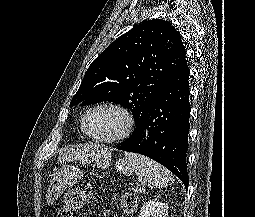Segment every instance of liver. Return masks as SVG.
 Segmentation results:
<instances>
[{"instance_id": "1", "label": "liver", "mask_w": 255, "mask_h": 217, "mask_svg": "<svg viewBox=\"0 0 255 217\" xmlns=\"http://www.w3.org/2000/svg\"><path fill=\"white\" fill-rule=\"evenodd\" d=\"M102 157L106 159L110 158L111 150L97 144L67 146L60 150L58 162L66 163L74 160L87 161L89 158L94 160Z\"/></svg>"}]
</instances>
